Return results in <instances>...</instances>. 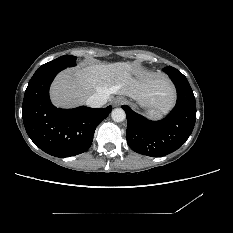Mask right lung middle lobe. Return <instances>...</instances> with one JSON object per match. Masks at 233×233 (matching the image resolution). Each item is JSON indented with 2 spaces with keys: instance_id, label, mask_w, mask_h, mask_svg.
Masks as SVG:
<instances>
[{
  "instance_id": "right-lung-middle-lobe-1",
  "label": "right lung middle lobe",
  "mask_w": 233,
  "mask_h": 233,
  "mask_svg": "<svg viewBox=\"0 0 233 233\" xmlns=\"http://www.w3.org/2000/svg\"><path fill=\"white\" fill-rule=\"evenodd\" d=\"M75 62H76L75 56L64 55V56H61L55 60H52L48 63L43 64L41 67L38 68L37 71L47 70V69H51V68H55V67H61V68L65 69L66 67L75 66L76 65Z\"/></svg>"
}]
</instances>
